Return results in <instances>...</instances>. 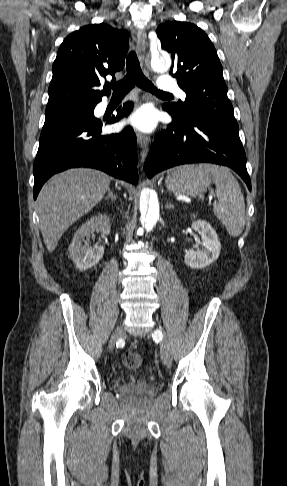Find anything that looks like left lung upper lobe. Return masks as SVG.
Here are the masks:
<instances>
[{
  "instance_id": "1",
  "label": "left lung upper lobe",
  "mask_w": 287,
  "mask_h": 486,
  "mask_svg": "<svg viewBox=\"0 0 287 486\" xmlns=\"http://www.w3.org/2000/svg\"><path fill=\"white\" fill-rule=\"evenodd\" d=\"M162 49L171 53L170 73L185 91L186 99L163 109L182 122L203 119L239 130L227 97L222 66L208 36L192 23L170 21L157 28Z\"/></svg>"
}]
</instances>
